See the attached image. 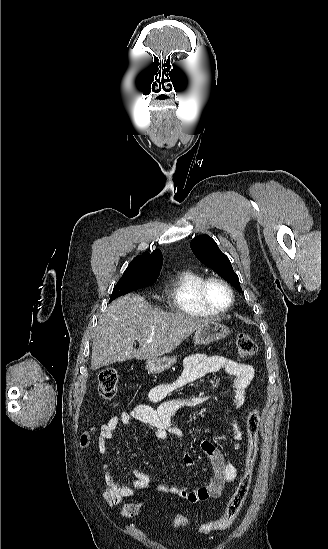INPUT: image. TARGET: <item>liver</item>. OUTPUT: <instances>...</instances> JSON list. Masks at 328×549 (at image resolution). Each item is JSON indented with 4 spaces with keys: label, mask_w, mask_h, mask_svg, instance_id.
<instances>
[{
    "label": "liver",
    "mask_w": 328,
    "mask_h": 549,
    "mask_svg": "<svg viewBox=\"0 0 328 549\" xmlns=\"http://www.w3.org/2000/svg\"><path fill=\"white\" fill-rule=\"evenodd\" d=\"M210 319L185 313H162L140 295H125L99 317L92 345L91 369L129 359H156L177 349ZM139 343L136 351L133 345ZM152 341V343H146Z\"/></svg>",
    "instance_id": "obj_1"
}]
</instances>
